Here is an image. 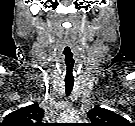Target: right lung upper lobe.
<instances>
[{"label": "right lung upper lobe", "mask_w": 135, "mask_h": 126, "mask_svg": "<svg viewBox=\"0 0 135 126\" xmlns=\"http://www.w3.org/2000/svg\"><path fill=\"white\" fill-rule=\"evenodd\" d=\"M44 110L37 103L20 108L8 114L3 121L4 126H38L41 124Z\"/></svg>", "instance_id": "cb5924a9"}]
</instances>
